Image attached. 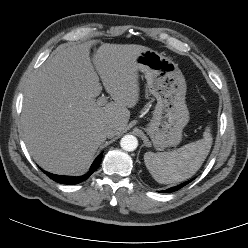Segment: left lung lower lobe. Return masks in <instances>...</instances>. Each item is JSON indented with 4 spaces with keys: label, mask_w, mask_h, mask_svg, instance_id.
Wrapping results in <instances>:
<instances>
[{
    "label": "left lung lower lobe",
    "mask_w": 248,
    "mask_h": 248,
    "mask_svg": "<svg viewBox=\"0 0 248 248\" xmlns=\"http://www.w3.org/2000/svg\"><path fill=\"white\" fill-rule=\"evenodd\" d=\"M193 180H194V179H191V180L186 181V182H184V183H182V184H180V185H177V186H175V187H171V188L167 189L166 191L169 192V193L175 192V191L181 189L182 187H184L185 185H187L188 183H190V182L193 181Z\"/></svg>",
    "instance_id": "obj_1"
}]
</instances>
